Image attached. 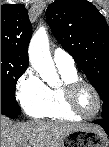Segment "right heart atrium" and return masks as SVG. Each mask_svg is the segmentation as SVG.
Segmentation results:
<instances>
[{"label": "right heart atrium", "mask_w": 109, "mask_h": 147, "mask_svg": "<svg viewBox=\"0 0 109 147\" xmlns=\"http://www.w3.org/2000/svg\"><path fill=\"white\" fill-rule=\"evenodd\" d=\"M16 98L24 110L44 105L49 100L48 87L36 73L27 69L17 81Z\"/></svg>", "instance_id": "right-heart-atrium-1"}]
</instances>
